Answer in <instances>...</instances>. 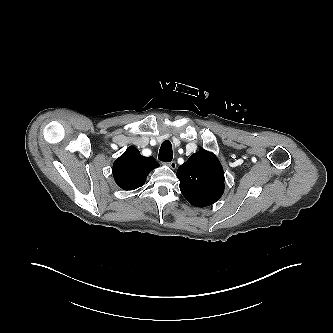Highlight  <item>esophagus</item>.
Instances as JSON below:
<instances>
[{"label": "esophagus", "instance_id": "1", "mask_svg": "<svg viewBox=\"0 0 333 333\" xmlns=\"http://www.w3.org/2000/svg\"><path fill=\"white\" fill-rule=\"evenodd\" d=\"M168 165H169V167H170L171 169H176V167H177V164H176L175 161H171V162H169Z\"/></svg>", "mask_w": 333, "mask_h": 333}]
</instances>
